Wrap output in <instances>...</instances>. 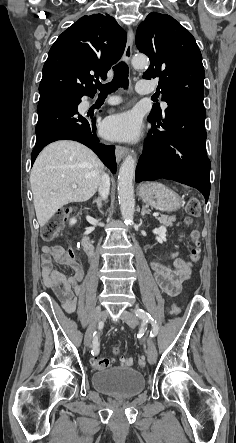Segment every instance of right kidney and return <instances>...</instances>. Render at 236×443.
Listing matches in <instances>:
<instances>
[{
    "instance_id": "right-kidney-1",
    "label": "right kidney",
    "mask_w": 236,
    "mask_h": 443,
    "mask_svg": "<svg viewBox=\"0 0 236 443\" xmlns=\"http://www.w3.org/2000/svg\"><path fill=\"white\" fill-rule=\"evenodd\" d=\"M76 223V219H71L70 220V224H75Z\"/></svg>"
}]
</instances>
